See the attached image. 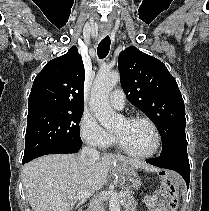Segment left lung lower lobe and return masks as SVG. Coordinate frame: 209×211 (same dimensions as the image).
Returning a JSON list of instances; mask_svg holds the SVG:
<instances>
[{
	"label": "left lung lower lobe",
	"mask_w": 209,
	"mask_h": 211,
	"mask_svg": "<svg viewBox=\"0 0 209 211\" xmlns=\"http://www.w3.org/2000/svg\"><path fill=\"white\" fill-rule=\"evenodd\" d=\"M147 163L178 172L185 180L187 187L190 181V165L187 155V146L180 147L166 155L146 161Z\"/></svg>",
	"instance_id": "1"
}]
</instances>
